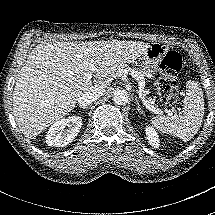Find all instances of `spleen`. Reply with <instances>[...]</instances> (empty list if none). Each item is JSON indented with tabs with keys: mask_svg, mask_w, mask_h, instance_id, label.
I'll use <instances>...</instances> for the list:
<instances>
[{
	"mask_svg": "<svg viewBox=\"0 0 215 215\" xmlns=\"http://www.w3.org/2000/svg\"><path fill=\"white\" fill-rule=\"evenodd\" d=\"M186 91L182 103L183 111L180 114L156 116L150 119V125L160 133L182 141L190 140L197 133L204 114L203 95L198 84L189 81Z\"/></svg>",
	"mask_w": 215,
	"mask_h": 215,
	"instance_id": "1",
	"label": "spleen"
}]
</instances>
